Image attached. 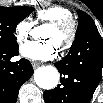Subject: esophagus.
Wrapping results in <instances>:
<instances>
[{"label": "esophagus", "instance_id": "1", "mask_svg": "<svg viewBox=\"0 0 103 103\" xmlns=\"http://www.w3.org/2000/svg\"><path fill=\"white\" fill-rule=\"evenodd\" d=\"M31 64H32L33 68H37L41 64V62H39V61H31Z\"/></svg>", "mask_w": 103, "mask_h": 103}]
</instances>
